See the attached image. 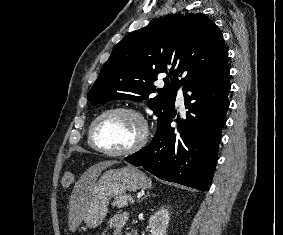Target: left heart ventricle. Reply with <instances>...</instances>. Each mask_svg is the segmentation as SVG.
I'll return each instance as SVG.
<instances>
[{
    "instance_id": "left-heart-ventricle-1",
    "label": "left heart ventricle",
    "mask_w": 283,
    "mask_h": 235,
    "mask_svg": "<svg viewBox=\"0 0 283 235\" xmlns=\"http://www.w3.org/2000/svg\"><path fill=\"white\" fill-rule=\"evenodd\" d=\"M142 126L139 120L128 113H113L104 117L95 130L99 146L118 151L132 146L139 138Z\"/></svg>"
}]
</instances>
